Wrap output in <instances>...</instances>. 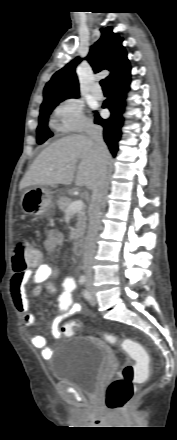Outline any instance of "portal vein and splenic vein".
Masks as SVG:
<instances>
[{
  "label": "portal vein and splenic vein",
  "instance_id": "1",
  "mask_svg": "<svg viewBox=\"0 0 177 440\" xmlns=\"http://www.w3.org/2000/svg\"><path fill=\"white\" fill-rule=\"evenodd\" d=\"M83 207H84L83 201L76 200L69 205L67 213L72 214V213L80 212L83 209Z\"/></svg>",
  "mask_w": 177,
  "mask_h": 440
}]
</instances>
